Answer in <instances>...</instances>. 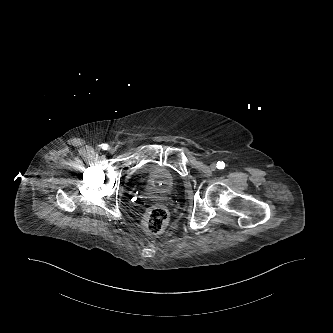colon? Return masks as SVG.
Wrapping results in <instances>:
<instances>
[{"label": "colon", "mask_w": 333, "mask_h": 333, "mask_svg": "<svg viewBox=\"0 0 333 333\" xmlns=\"http://www.w3.org/2000/svg\"><path fill=\"white\" fill-rule=\"evenodd\" d=\"M168 219L167 208L163 205H155L144 216L143 227L147 233L157 235L165 229Z\"/></svg>", "instance_id": "5ec220e1"}]
</instances>
